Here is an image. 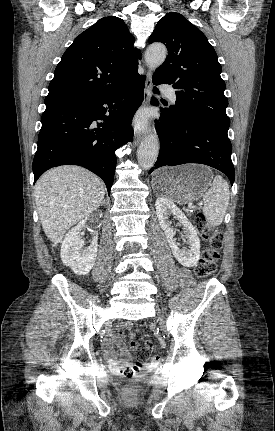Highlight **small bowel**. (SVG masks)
<instances>
[{"label":"small bowel","mask_w":275,"mask_h":431,"mask_svg":"<svg viewBox=\"0 0 275 431\" xmlns=\"http://www.w3.org/2000/svg\"><path fill=\"white\" fill-rule=\"evenodd\" d=\"M179 280L181 285L183 286H189L190 284H192V281H193L190 272L186 269H181L179 271ZM130 328H131V324L129 322H123L119 324L116 327L114 334L109 336L104 342V346H103L104 354L108 359V361L111 363V365L114 367H118L123 362H127L130 360V354L122 339V334L124 330L130 329ZM114 346H116L119 349V352L123 357V359L119 358L118 352L114 350Z\"/></svg>","instance_id":"c3829d8e"}]
</instances>
